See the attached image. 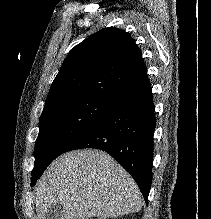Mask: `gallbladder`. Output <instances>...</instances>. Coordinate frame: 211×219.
Wrapping results in <instances>:
<instances>
[{
	"label": "gallbladder",
	"mask_w": 211,
	"mask_h": 219,
	"mask_svg": "<svg viewBox=\"0 0 211 219\" xmlns=\"http://www.w3.org/2000/svg\"><path fill=\"white\" fill-rule=\"evenodd\" d=\"M61 213H62L61 204L52 205L46 213V219H61Z\"/></svg>",
	"instance_id": "1"
}]
</instances>
